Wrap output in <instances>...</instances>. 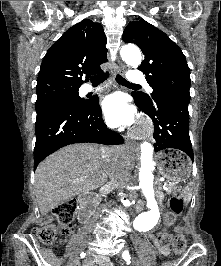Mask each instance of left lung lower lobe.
<instances>
[{"label":"left lung lower lobe","instance_id":"0a47b994","mask_svg":"<svg viewBox=\"0 0 221 266\" xmlns=\"http://www.w3.org/2000/svg\"><path fill=\"white\" fill-rule=\"evenodd\" d=\"M134 97V95H132ZM135 104L154 122V150L177 149L185 152L193 161V150L189 137V112L185 101L162 98L155 108L145 107L135 97Z\"/></svg>","mask_w":221,"mask_h":266}]
</instances>
